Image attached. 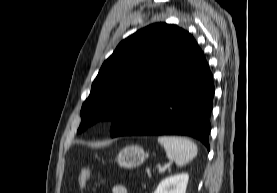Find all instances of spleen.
<instances>
[{
  "instance_id": "3e777b00",
  "label": "spleen",
  "mask_w": 277,
  "mask_h": 193,
  "mask_svg": "<svg viewBox=\"0 0 277 193\" xmlns=\"http://www.w3.org/2000/svg\"><path fill=\"white\" fill-rule=\"evenodd\" d=\"M158 142L163 145L167 158L174 160L178 166L185 165L197 155V146L188 138L159 136Z\"/></svg>"
}]
</instances>
